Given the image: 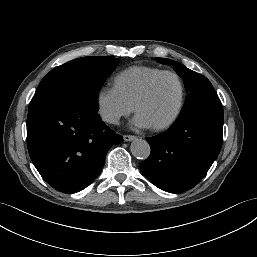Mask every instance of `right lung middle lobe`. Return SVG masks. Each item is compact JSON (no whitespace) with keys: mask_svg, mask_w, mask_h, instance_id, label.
I'll return each mask as SVG.
<instances>
[{"mask_svg":"<svg viewBox=\"0 0 257 257\" xmlns=\"http://www.w3.org/2000/svg\"><path fill=\"white\" fill-rule=\"evenodd\" d=\"M118 63V58L88 56L60 65L41 80L30 104L67 98L98 110V92Z\"/></svg>","mask_w":257,"mask_h":257,"instance_id":"obj_1","label":"right lung middle lobe"}]
</instances>
